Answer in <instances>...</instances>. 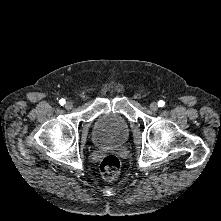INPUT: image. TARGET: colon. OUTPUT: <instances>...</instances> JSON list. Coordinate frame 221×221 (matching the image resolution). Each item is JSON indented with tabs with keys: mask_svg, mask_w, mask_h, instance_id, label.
<instances>
[{
	"mask_svg": "<svg viewBox=\"0 0 221 221\" xmlns=\"http://www.w3.org/2000/svg\"><path fill=\"white\" fill-rule=\"evenodd\" d=\"M120 161L115 155H105L100 163V171L104 179L111 181L117 178Z\"/></svg>",
	"mask_w": 221,
	"mask_h": 221,
	"instance_id": "5ec220e1",
	"label": "colon"
}]
</instances>
